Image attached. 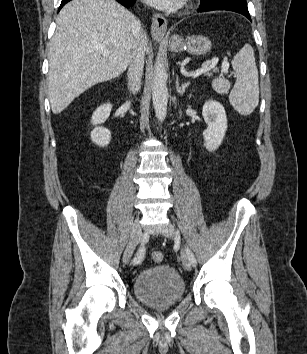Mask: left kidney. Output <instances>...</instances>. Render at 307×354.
I'll use <instances>...</instances> for the list:
<instances>
[{
  "label": "left kidney",
  "instance_id": "obj_1",
  "mask_svg": "<svg viewBox=\"0 0 307 354\" xmlns=\"http://www.w3.org/2000/svg\"><path fill=\"white\" fill-rule=\"evenodd\" d=\"M202 115L208 125L203 132L204 146L212 152L221 145L227 130L226 112L219 102L209 100L203 105Z\"/></svg>",
  "mask_w": 307,
  "mask_h": 354
}]
</instances>
